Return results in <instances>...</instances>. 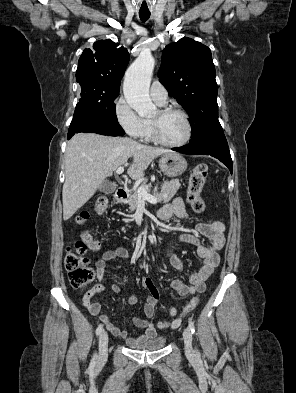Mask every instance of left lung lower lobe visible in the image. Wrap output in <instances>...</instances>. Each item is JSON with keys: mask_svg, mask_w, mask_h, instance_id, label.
I'll return each instance as SVG.
<instances>
[{"mask_svg": "<svg viewBox=\"0 0 296 393\" xmlns=\"http://www.w3.org/2000/svg\"><path fill=\"white\" fill-rule=\"evenodd\" d=\"M172 150L185 154L211 155L223 162L232 173V159L224 133L211 136L198 143L172 148Z\"/></svg>", "mask_w": 296, "mask_h": 393, "instance_id": "left-lung-lower-lobe-1", "label": "left lung lower lobe"}]
</instances>
